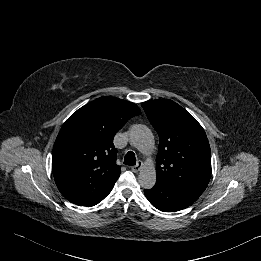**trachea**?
<instances>
[{
	"instance_id": "1",
	"label": "trachea",
	"mask_w": 261,
	"mask_h": 261,
	"mask_svg": "<svg viewBox=\"0 0 261 261\" xmlns=\"http://www.w3.org/2000/svg\"><path fill=\"white\" fill-rule=\"evenodd\" d=\"M124 164L129 166L136 165V157L135 153L132 151H128L124 158Z\"/></svg>"
}]
</instances>
